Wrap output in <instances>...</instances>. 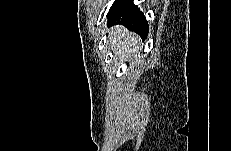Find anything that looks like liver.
<instances>
[{"label": "liver", "instance_id": "liver-1", "mask_svg": "<svg viewBox=\"0 0 231 151\" xmlns=\"http://www.w3.org/2000/svg\"><path fill=\"white\" fill-rule=\"evenodd\" d=\"M108 41L116 57L122 61L134 58L138 60V54L141 49L140 37L129 32L123 26L117 25L107 30Z\"/></svg>", "mask_w": 231, "mask_h": 151}]
</instances>
